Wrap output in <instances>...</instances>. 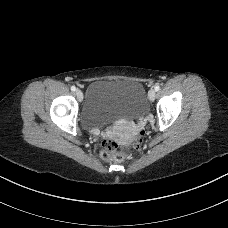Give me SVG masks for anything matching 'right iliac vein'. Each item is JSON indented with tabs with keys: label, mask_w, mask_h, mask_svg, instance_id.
Instances as JSON below:
<instances>
[{
	"label": "right iliac vein",
	"mask_w": 228,
	"mask_h": 228,
	"mask_svg": "<svg viewBox=\"0 0 228 228\" xmlns=\"http://www.w3.org/2000/svg\"><path fill=\"white\" fill-rule=\"evenodd\" d=\"M76 96L81 101L83 99V93H82V91L79 90V89H77L76 90Z\"/></svg>",
	"instance_id": "1"
}]
</instances>
